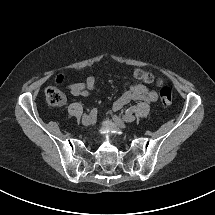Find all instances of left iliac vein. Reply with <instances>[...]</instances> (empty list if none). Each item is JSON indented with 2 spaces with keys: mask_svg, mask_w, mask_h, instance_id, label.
I'll return each instance as SVG.
<instances>
[{
  "mask_svg": "<svg viewBox=\"0 0 215 215\" xmlns=\"http://www.w3.org/2000/svg\"><path fill=\"white\" fill-rule=\"evenodd\" d=\"M113 119L116 123H121L122 121L133 122V121H135L136 117L132 114H125L122 117L114 115Z\"/></svg>",
  "mask_w": 215,
  "mask_h": 215,
  "instance_id": "1",
  "label": "left iliac vein"
}]
</instances>
